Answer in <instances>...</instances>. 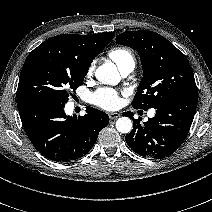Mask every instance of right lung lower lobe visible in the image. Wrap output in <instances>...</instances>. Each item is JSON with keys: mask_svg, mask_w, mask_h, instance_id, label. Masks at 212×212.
Here are the masks:
<instances>
[{"mask_svg": "<svg viewBox=\"0 0 212 212\" xmlns=\"http://www.w3.org/2000/svg\"><path fill=\"white\" fill-rule=\"evenodd\" d=\"M24 130L42 156L69 162L86 155L108 124L106 113L87 107L84 116H68L65 104L44 98H18Z\"/></svg>", "mask_w": 212, "mask_h": 212, "instance_id": "1", "label": "right lung lower lobe"}]
</instances>
